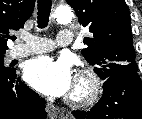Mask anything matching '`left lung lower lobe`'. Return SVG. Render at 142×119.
<instances>
[{"label":"left lung lower lobe","instance_id":"obj_1","mask_svg":"<svg viewBox=\"0 0 142 119\" xmlns=\"http://www.w3.org/2000/svg\"><path fill=\"white\" fill-rule=\"evenodd\" d=\"M104 94L91 111H73L77 119H142V82L136 70L104 80Z\"/></svg>","mask_w":142,"mask_h":119}]
</instances>
